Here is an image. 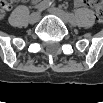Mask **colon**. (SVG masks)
I'll list each match as a JSON object with an SVG mask.
<instances>
[{"mask_svg":"<svg viewBox=\"0 0 103 103\" xmlns=\"http://www.w3.org/2000/svg\"><path fill=\"white\" fill-rule=\"evenodd\" d=\"M10 4H11L10 1H3L1 4V13L5 12ZM87 4L95 9L97 20L100 22L103 21V5H102V3L99 1H90Z\"/></svg>","mask_w":103,"mask_h":103,"instance_id":"5ec220e1","label":"colon"}]
</instances>
